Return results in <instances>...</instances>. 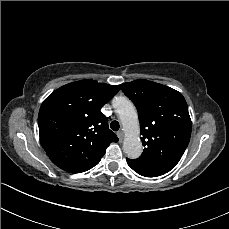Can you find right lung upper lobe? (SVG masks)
<instances>
[{
	"label": "right lung upper lobe",
	"instance_id": "cb5924a9",
	"mask_svg": "<svg viewBox=\"0 0 229 229\" xmlns=\"http://www.w3.org/2000/svg\"><path fill=\"white\" fill-rule=\"evenodd\" d=\"M118 91V86L87 79L66 84L44 100L38 115L40 142L56 166L70 173L87 171L118 141L100 111Z\"/></svg>",
	"mask_w": 229,
	"mask_h": 229
}]
</instances>
